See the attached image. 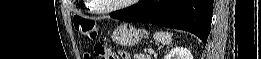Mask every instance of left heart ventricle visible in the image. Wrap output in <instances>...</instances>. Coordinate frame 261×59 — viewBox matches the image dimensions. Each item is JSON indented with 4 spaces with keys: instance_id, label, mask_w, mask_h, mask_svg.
<instances>
[{
    "instance_id": "left-heart-ventricle-1",
    "label": "left heart ventricle",
    "mask_w": 261,
    "mask_h": 59,
    "mask_svg": "<svg viewBox=\"0 0 261 59\" xmlns=\"http://www.w3.org/2000/svg\"><path fill=\"white\" fill-rule=\"evenodd\" d=\"M127 2L125 0H96L95 3L100 8H109L121 3Z\"/></svg>"
}]
</instances>
